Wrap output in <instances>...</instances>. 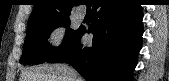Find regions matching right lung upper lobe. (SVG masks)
<instances>
[{
    "label": "right lung upper lobe",
    "mask_w": 169,
    "mask_h": 81,
    "mask_svg": "<svg viewBox=\"0 0 169 81\" xmlns=\"http://www.w3.org/2000/svg\"><path fill=\"white\" fill-rule=\"evenodd\" d=\"M34 9L28 25L37 21L55 19L70 15L72 0H34Z\"/></svg>",
    "instance_id": "cb5924a9"
}]
</instances>
